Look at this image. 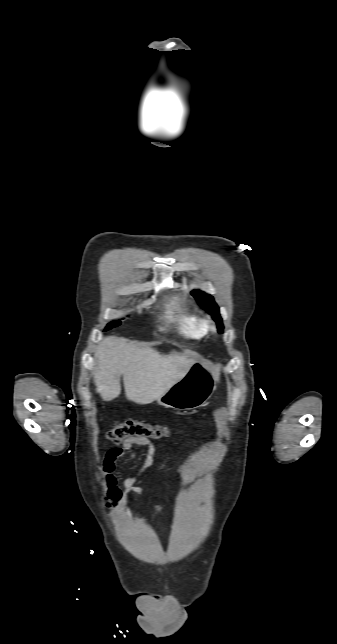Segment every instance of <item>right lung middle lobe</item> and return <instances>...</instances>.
Masks as SVG:
<instances>
[{"mask_svg": "<svg viewBox=\"0 0 337 644\" xmlns=\"http://www.w3.org/2000/svg\"><path fill=\"white\" fill-rule=\"evenodd\" d=\"M120 323H121L120 321H113V322L109 323V324L106 326L105 331H107V330H109V329H111V328H114V327L119 326V325H120Z\"/></svg>", "mask_w": 337, "mask_h": 644, "instance_id": "dd1d6c3e", "label": "right lung middle lobe"}]
</instances>
